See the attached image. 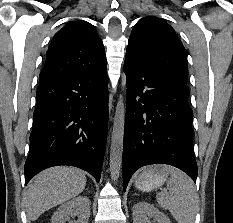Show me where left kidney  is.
Listing matches in <instances>:
<instances>
[{"label": "left kidney", "mask_w": 233, "mask_h": 223, "mask_svg": "<svg viewBox=\"0 0 233 223\" xmlns=\"http://www.w3.org/2000/svg\"><path fill=\"white\" fill-rule=\"evenodd\" d=\"M132 215L133 223H151L149 217H154V221H157V223H171L166 213L159 211L158 207H154L153 203H148V201L135 203Z\"/></svg>", "instance_id": "5707ae66"}]
</instances>
